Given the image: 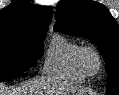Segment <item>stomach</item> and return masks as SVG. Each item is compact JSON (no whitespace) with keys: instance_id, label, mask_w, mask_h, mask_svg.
Segmentation results:
<instances>
[{"instance_id":"stomach-1","label":"stomach","mask_w":119,"mask_h":95,"mask_svg":"<svg viewBox=\"0 0 119 95\" xmlns=\"http://www.w3.org/2000/svg\"><path fill=\"white\" fill-rule=\"evenodd\" d=\"M73 95H86V94L81 93V92H77V93H74Z\"/></svg>"}]
</instances>
